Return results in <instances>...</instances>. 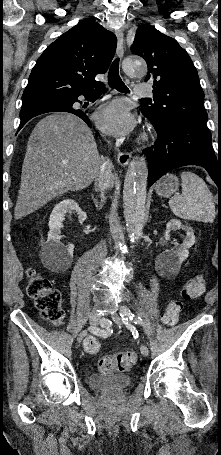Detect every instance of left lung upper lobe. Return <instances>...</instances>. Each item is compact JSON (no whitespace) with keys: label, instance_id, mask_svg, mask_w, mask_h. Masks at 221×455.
<instances>
[{"label":"left lung upper lobe","instance_id":"obj_1","mask_svg":"<svg viewBox=\"0 0 221 455\" xmlns=\"http://www.w3.org/2000/svg\"><path fill=\"white\" fill-rule=\"evenodd\" d=\"M132 53L145 59V81L153 82L154 105L143 106L148 118L172 124L178 120L206 124L204 93L187 52L173 38L150 26L136 31Z\"/></svg>","mask_w":221,"mask_h":455}]
</instances>
